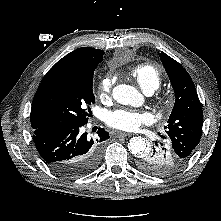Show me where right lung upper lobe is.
Wrapping results in <instances>:
<instances>
[{
    "label": "right lung upper lobe",
    "mask_w": 221,
    "mask_h": 221,
    "mask_svg": "<svg viewBox=\"0 0 221 221\" xmlns=\"http://www.w3.org/2000/svg\"><path fill=\"white\" fill-rule=\"evenodd\" d=\"M103 55L104 51L99 50V49H92L89 47H82L78 48L66 56H64L62 59H60L49 71L48 73L44 76V80L73 70L80 65L92 61V60H103ZM37 106L35 101L33 100L32 103V109H31V126L33 130L38 129V128H46V126L42 123L40 118L37 115Z\"/></svg>",
    "instance_id": "obj_1"
}]
</instances>
